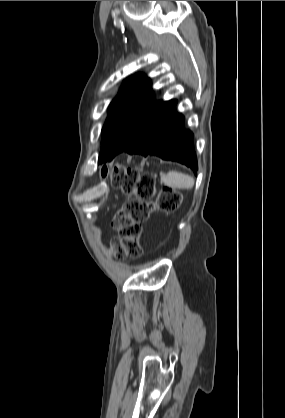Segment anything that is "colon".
<instances>
[{
	"label": "colon",
	"instance_id": "obj_1",
	"mask_svg": "<svg viewBox=\"0 0 285 418\" xmlns=\"http://www.w3.org/2000/svg\"><path fill=\"white\" fill-rule=\"evenodd\" d=\"M101 175L111 178L128 196L114 219L117 235L110 240L106 251L112 256L138 259L143 254L140 241L142 223L156 209L174 212L181 204L182 194L168 187H163L156 194L153 175L138 174L120 165L102 168Z\"/></svg>",
	"mask_w": 285,
	"mask_h": 418
}]
</instances>
